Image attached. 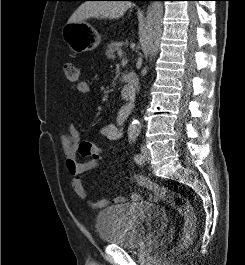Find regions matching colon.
<instances>
[{"label": "colon", "instance_id": "colon-1", "mask_svg": "<svg viewBox=\"0 0 245 265\" xmlns=\"http://www.w3.org/2000/svg\"><path fill=\"white\" fill-rule=\"evenodd\" d=\"M64 73L67 81L76 86L79 83V70L73 63H66L64 65ZM78 153L85 158L98 159L101 155V149L90 141H82L78 145ZM134 180L142 187H145L156 193L159 198L169 204L172 208L183 215L184 230L179 244L175 247V251H180L187 248L196 231V216L187 199L165 186H160L150 179L142 175H135Z\"/></svg>", "mask_w": 245, "mask_h": 265}]
</instances>
